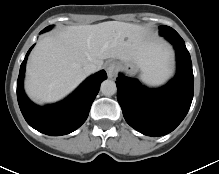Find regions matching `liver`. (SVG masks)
<instances>
[{
  "mask_svg": "<svg viewBox=\"0 0 219 174\" xmlns=\"http://www.w3.org/2000/svg\"><path fill=\"white\" fill-rule=\"evenodd\" d=\"M162 44L149 42L141 26L107 21L69 26L38 41L27 63L25 90L39 103L56 101L86 77L84 66L100 69L108 58L133 61L142 70L166 58Z\"/></svg>",
  "mask_w": 219,
  "mask_h": 174,
  "instance_id": "liver-1",
  "label": "liver"
}]
</instances>
